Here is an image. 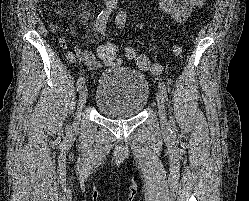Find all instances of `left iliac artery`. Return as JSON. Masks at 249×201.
Returning <instances> with one entry per match:
<instances>
[{"mask_svg":"<svg viewBox=\"0 0 249 201\" xmlns=\"http://www.w3.org/2000/svg\"><path fill=\"white\" fill-rule=\"evenodd\" d=\"M126 11L123 10L121 12L118 13L117 17H116V24L119 28H124L125 23H126ZM158 88L161 91V93L164 95V97L166 98V100L168 101L167 98V89H166V85L164 84V82H159L158 83ZM170 131L171 133H175L176 132V127H175V123H174V119L171 117L170 118Z\"/></svg>","mask_w":249,"mask_h":201,"instance_id":"44dca946","label":"left iliac artery"}]
</instances>
